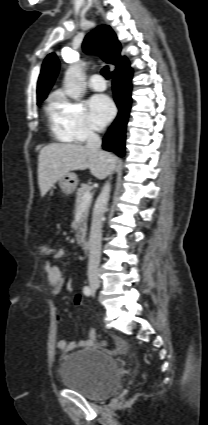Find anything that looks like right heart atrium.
Here are the masks:
<instances>
[{"instance_id":"right-heart-atrium-1","label":"right heart atrium","mask_w":208,"mask_h":425,"mask_svg":"<svg viewBox=\"0 0 208 425\" xmlns=\"http://www.w3.org/2000/svg\"><path fill=\"white\" fill-rule=\"evenodd\" d=\"M53 111L57 128L75 142H86L96 133L83 103L73 101L59 92L54 97Z\"/></svg>"}]
</instances>
